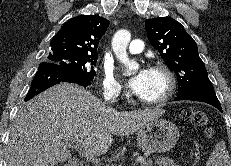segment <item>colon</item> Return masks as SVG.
Here are the masks:
<instances>
[{
  "label": "colon",
  "mask_w": 231,
  "mask_h": 166,
  "mask_svg": "<svg viewBox=\"0 0 231 166\" xmlns=\"http://www.w3.org/2000/svg\"><path fill=\"white\" fill-rule=\"evenodd\" d=\"M180 116L184 121H187L192 125L205 127L209 130V118L206 112L203 110L191 106H185L181 108Z\"/></svg>",
  "instance_id": "1"
}]
</instances>
